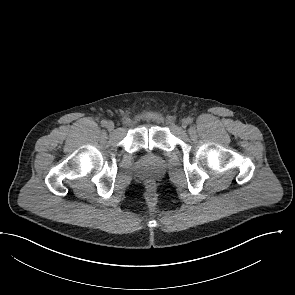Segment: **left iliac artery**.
I'll return each mask as SVG.
<instances>
[{
  "instance_id": "obj_1",
  "label": "left iliac artery",
  "mask_w": 295,
  "mask_h": 295,
  "mask_svg": "<svg viewBox=\"0 0 295 295\" xmlns=\"http://www.w3.org/2000/svg\"><path fill=\"white\" fill-rule=\"evenodd\" d=\"M187 121H188V123H192L193 122V119L191 117H188L187 118Z\"/></svg>"
}]
</instances>
